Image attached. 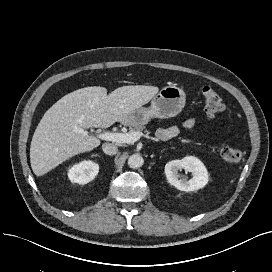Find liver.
Returning <instances> with one entry per match:
<instances>
[{"label":"liver","mask_w":272,"mask_h":272,"mask_svg":"<svg viewBox=\"0 0 272 272\" xmlns=\"http://www.w3.org/2000/svg\"><path fill=\"white\" fill-rule=\"evenodd\" d=\"M158 91L156 86L130 85L108 95L106 88L92 86L62 97L45 112L34 132L30 146L34 174L42 176L69 158L100 145L97 137L79 133L76 127L107 128L115 122H124Z\"/></svg>","instance_id":"1"}]
</instances>
